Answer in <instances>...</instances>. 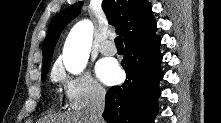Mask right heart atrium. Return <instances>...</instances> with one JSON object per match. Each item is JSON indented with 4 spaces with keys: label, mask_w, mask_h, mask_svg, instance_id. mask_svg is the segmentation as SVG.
I'll list each match as a JSON object with an SVG mask.
<instances>
[{
    "label": "right heart atrium",
    "mask_w": 221,
    "mask_h": 123,
    "mask_svg": "<svg viewBox=\"0 0 221 123\" xmlns=\"http://www.w3.org/2000/svg\"><path fill=\"white\" fill-rule=\"evenodd\" d=\"M52 77L62 84L67 106L72 110H82L87 106L101 103L105 99V89L89 72L69 75L61 67H57Z\"/></svg>",
    "instance_id": "1"
}]
</instances>
